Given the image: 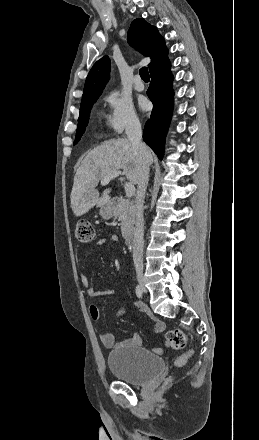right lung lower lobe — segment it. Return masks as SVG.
I'll use <instances>...</instances> for the list:
<instances>
[{
  "label": "right lung lower lobe",
  "instance_id": "1",
  "mask_svg": "<svg viewBox=\"0 0 259 440\" xmlns=\"http://www.w3.org/2000/svg\"><path fill=\"white\" fill-rule=\"evenodd\" d=\"M151 83L147 91L153 103L150 118L143 131L144 141L162 159L167 129L173 109V75L168 57L150 71Z\"/></svg>",
  "mask_w": 259,
  "mask_h": 440
}]
</instances>
